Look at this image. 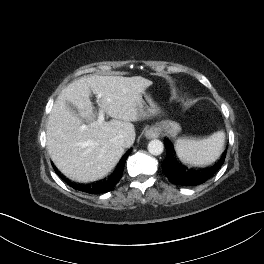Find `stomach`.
Wrapping results in <instances>:
<instances>
[{"label": "stomach", "instance_id": "obj_1", "mask_svg": "<svg viewBox=\"0 0 264 264\" xmlns=\"http://www.w3.org/2000/svg\"><path fill=\"white\" fill-rule=\"evenodd\" d=\"M142 103L146 114H155L159 111L157 105L146 92L143 93ZM156 127L158 131L164 132L172 137H175L181 131V126L177 122L171 120L161 121Z\"/></svg>", "mask_w": 264, "mask_h": 264}]
</instances>
